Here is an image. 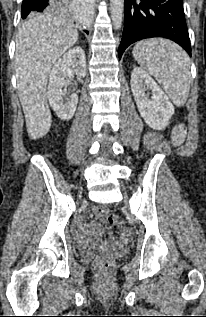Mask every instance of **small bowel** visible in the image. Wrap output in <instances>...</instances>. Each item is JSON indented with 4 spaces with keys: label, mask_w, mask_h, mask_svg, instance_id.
Wrapping results in <instances>:
<instances>
[{
    "label": "small bowel",
    "mask_w": 206,
    "mask_h": 317,
    "mask_svg": "<svg viewBox=\"0 0 206 317\" xmlns=\"http://www.w3.org/2000/svg\"><path fill=\"white\" fill-rule=\"evenodd\" d=\"M74 233L79 242L85 243L94 236H101L102 228L96 223L92 225L80 224L75 228ZM130 237V230L123 229L121 232V240L126 242L130 239Z\"/></svg>",
    "instance_id": "small-bowel-1"
}]
</instances>
